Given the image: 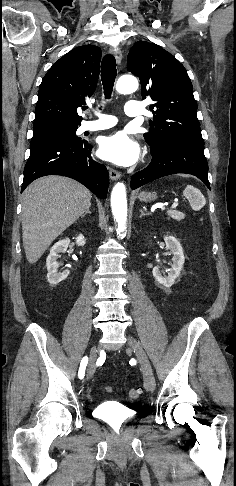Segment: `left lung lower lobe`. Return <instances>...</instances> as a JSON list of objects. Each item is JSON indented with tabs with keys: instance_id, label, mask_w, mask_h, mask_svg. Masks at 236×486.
<instances>
[{
	"instance_id": "0a47b994",
	"label": "left lung lower lobe",
	"mask_w": 236,
	"mask_h": 486,
	"mask_svg": "<svg viewBox=\"0 0 236 486\" xmlns=\"http://www.w3.org/2000/svg\"><path fill=\"white\" fill-rule=\"evenodd\" d=\"M150 148L152 162L147 168L132 176V189L176 173L192 174L210 189L204 144L185 139H171Z\"/></svg>"
}]
</instances>
